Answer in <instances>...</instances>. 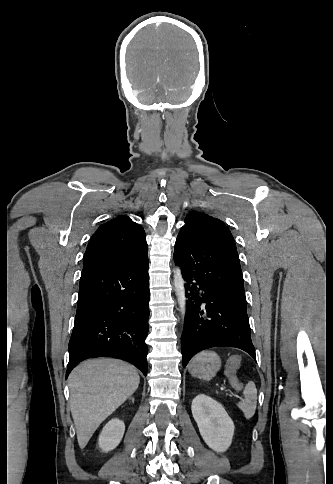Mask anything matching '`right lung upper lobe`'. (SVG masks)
<instances>
[{
	"label": "right lung upper lobe",
	"mask_w": 333,
	"mask_h": 484,
	"mask_svg": "<svg viewBox=\"0 0 333 484\" xmlns=\"http://www.w3.org/2000/svg\"><path fill=\"white\" fill-rule=\"evenodd\" d=\"M144 252H147L144 229L128 216H118L101 225L93 234L83 265L125 262Z\"/></svg>",
	"instance_id": "obj_1"
}]
</instances>
